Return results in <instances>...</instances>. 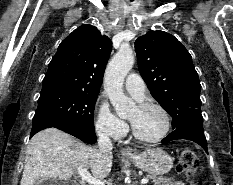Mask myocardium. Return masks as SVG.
<instances>
[{"label":"myocardium","mask_w":233,"mask_h":185,"mask_svg":"<svg viewBox=\"0 0 233 185\" xmlns=\"http://www.w3.org/2000/svg\"><path fill=\"white\" fill-rule=\"evenodd\" d=\"M137 106L139 108H156V109H158L164 116L165 126H164L163 131L159 135H157L155 137L148 138V137L141 136L135 130L134 126L131 123V131H132L133 137L136 140H138L142 143H147V144H154V143H158L161 140H163L169 134V132L171 130V126H172V119H171V116H170L168 110L160 103H157L155 101H150V100L142 101Z\"/></svg>","instance_id":"f54148a6"}]
</instances>
